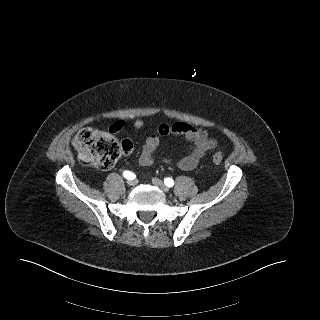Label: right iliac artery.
Listing matches in <instances>:
<instances>
[{
    "instance_id": "right-iliac-artery-1",
    "label": "right iliac artery",
    "mask_w": 320,
    "mask_h": 320,
    "mask_svg": "<svg viewBox=\"0 0 320 320\" xmlns=\"http://www.w3.org/2000/svg\"><path fill=\"white\" fill-rule=\"evenodd\" d=\"M123 176L128 180L135 179V177H136V175L130 171H124Z\"/></svg>"
}]
</instances>
